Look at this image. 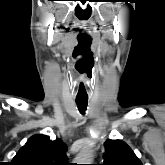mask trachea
Returning a JSON list of instances; mask_svg holds the SVG:
<instances>
[{"label":"trachea","instance_id":"obj_1","mask_svg":"<svg viewBox=\"0 0 165 165\" xmlns=\"http://www.w3.org/2000/svg\"><path fill=\"white\" fill-rule=\"evenodd\" d=\"M76 104L79 111L84 114L88 104V98H76Z\"/></svg>","mask_w":165,"mask_h":165}]
</instances>
